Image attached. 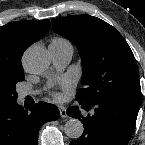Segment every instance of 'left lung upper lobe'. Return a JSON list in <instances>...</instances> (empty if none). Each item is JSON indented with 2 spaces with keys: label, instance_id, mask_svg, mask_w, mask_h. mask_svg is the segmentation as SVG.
<instances>
[{
  "label": "left lung upper lobe",
  "instance_id": "1",
  "mask_svg": "<svg viewBox=\"0 0 145 145\" xmlns=\"http://www.w3.org/2000/svg\"><path fill=\"white\" fill-rule=\"evenodd\" d=\"M52 27L78 48L85 88L78 89L76 99L92 104L115 97H141L135 57L113 26L82 14L52 19Z\"/></svg>",
  "mask_w": 145,
  "mask_h": 145
}]
</instances>
